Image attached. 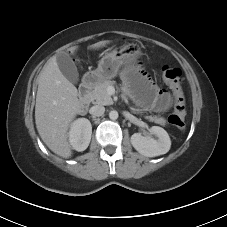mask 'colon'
Listing matches in <instances>:
<instances>
[{
  "label": "colon",
  "mask_w": 227,
  "mask_h": 227,
  "mask_svg": "<svg viewBox=\"0 0 227 227\" xmlns=\"http://www.w3.org/2000/svg\"><path fill=\"white\" fill-rule=\"evenodd\" d=\"M162 77L167 85L172 90L174 96V109L172 114L168 117V122L176 127L183 128L185 125V98L182 89L181 71L178 68L171 66H164L162 68Z\"/></svg>",
  "instance_id": "colon-1"
}]
</instances>
